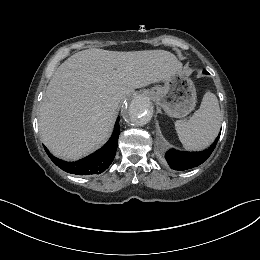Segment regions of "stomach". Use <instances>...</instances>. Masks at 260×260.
<instances>
[{
	"instance_id": "obj_1",
	"label": "stomach",
	"mask_w": 260,
	"mask_h": 260,
	"mask_svg": "<svg viewBox=\"0 0 260 260\" xmlns=\"http://www.w3.org/2000/svg\"><path fill=\"white\" fill-rule=\"evenodd\" d=\"M154 102L163 108L165 113L174 118L187 116L196 106V89L194 83L181 72H177L150 90Z\"/></svg>"
}]
</instances>
